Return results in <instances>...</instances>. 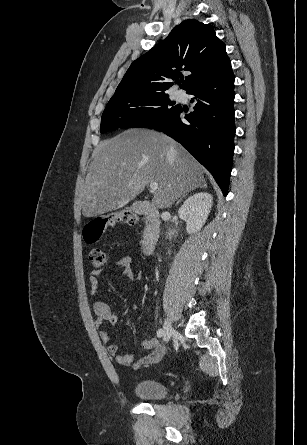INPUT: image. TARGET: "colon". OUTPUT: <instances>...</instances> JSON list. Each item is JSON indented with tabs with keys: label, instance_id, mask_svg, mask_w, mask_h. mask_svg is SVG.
<instances>
[{
	"label": "colon",
	"instance_id": "colon-1",
	"mask_svg": "<svg viewBox=\"0 0 307 445\" xmlns=\"http://www.w3.org/2000/svg\"><path fill=\"white\" fill-rule=\"evenodd\" d=\"M138 221L139 218L136 214L125 211L114 212L109 215L94 218L84 227V240L87 244H94L100 240L106 228L113 223L124 222L134 226ZM90 260L96 269H101L107 264L108 257L104 250L95 248L90 252Z\"/></svg>",
	"mask_w": 307,
	"mask_h": 445
}]
</instances>
